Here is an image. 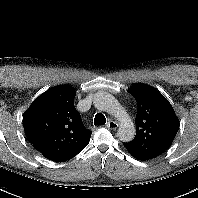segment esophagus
<instances>
[{
    "mask_svg": "<svg viewBox=\"0 0 198 198\" xmlns=\"http://www.w3.org/2000/svg\"><path fill=\"white\" fill-rule=\"evenodd\" d=\"M118 123L116 121H113V120H110L107 124H106V127L108 129H111V130H116L118 128Z\"/></svg>",
    "mask_w": 198,
    "mask_h": 198,
    "instance_id": "esophagus-1",
    "label": "esophagus"
}]
</instances>
